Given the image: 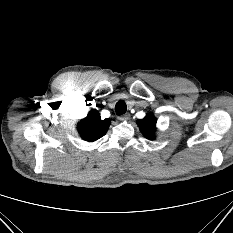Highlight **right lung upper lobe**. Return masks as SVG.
I'll use <instances>...</instances> for the list:
<instances>
[{
	"label": "right lung upper lobe",
	"instance_id": "cb5924a9",
	"mask_svg": "<svg viewBox=\"0 0 233 233\" xmlns=\"http://www.w3.org/2000/svg\"><path fill=\"white\" fill-rule=\"evenodd\" d=\"M109 125V119L101 120L99 113L91 110L87 117L78 123L77 128L84 140L94 142L106 134Z\"/></svg>",
	"mask_w": 233,
	"mask_h": 233
}]
</instances>
